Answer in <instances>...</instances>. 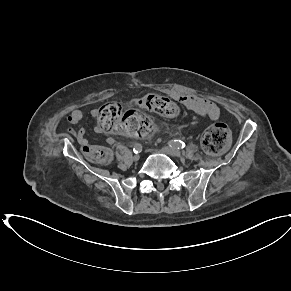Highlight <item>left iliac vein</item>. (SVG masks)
<instances>
[{
	"instance_id": "4c4485c4",
	"label": "left iliac vein",
	"mask_w": 291,
	"mask_h": 291,
	"mask_svg": "<svg viewBox=\"0 0 291 291\" xmlns=\"http://www.w3.org/2000/svg\"><path fill=\"white\" fill-rule=\"evenodd\" d=\"M159 152L164 153L166 155L173 156V157H181L182 156L181 152L178 149L168 147V146L162 147L159 150Z\"/></svg>"
}]
</instances>
